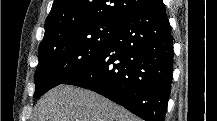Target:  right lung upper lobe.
I'll use <instances>...</instances> for the list:
<instances>
[{
  "label": "right lung upper lobe",
  "instance_id": "obj_1",
  "mask_svg": "<svg viewBox=\"0 0 217 121\" xmlns=\"http://www.w3.org/2000/svg\"><path fill=\"white\" fill-rule=\"evenodd\" d=\"M151 0H54L45 21L40 46L64 36L75 28L98 22L122 23Z\"/></svg>",
  "mask_w": 217,
  "mask_h": 121
}]
</instances>
